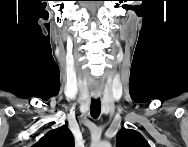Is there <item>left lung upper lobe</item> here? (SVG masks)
Here are the masks:
<instances>
[{"label":"left lung upper lobe","instance_id":"1","mask_svg":"<svg viewBox=\"0 0 188 147\" xmlns=\"http://www.w3.org/2000/svg\"><path fill=\"white\" fill-rule=\"evenodd\" d=\"M117 147H150L143 136L129 129H121L117 135Z\"/></svg>","mask_w":188,"mask_h":147}]
</instances>
